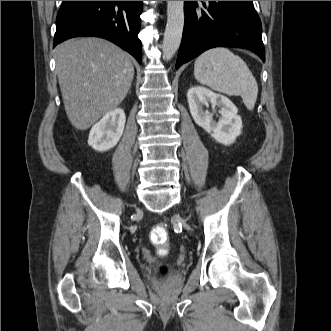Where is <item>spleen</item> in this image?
Returning <instances> with one entry per match:
<instances>
[{
  "instance_id": "3e777b00",
  "label": "spleen",
  "mask_w": 331,
  "mask_h": 331,
  "mask_svg": "<svg viewBox=\"0 0 331 331\" xmlns=\"http://www.w3.org/2000/svg\"><path fill=\"white\" fill-rule=\"evenodd\" d=\"M198 82L227 95H239L248 110H253L258 94L257 82L241 57L227 48H212L194 63Z\"/></svg>"
}]
</instances>
